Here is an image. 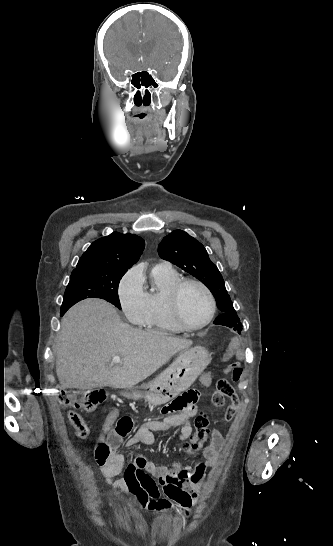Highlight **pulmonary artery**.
<instances>
[{"label": "pulmonary artery", "mask_w": 333, "mask_h": 546, "mask_svg": "<svg viewBox=\"0 0 333 546\" xmlns=\"http://www.w3.org/2000/svg\"><path fill=\"white\" fill-rule=\"evenodd\" d=\"M157 266H168V263L162 262V263L158 264Z\"/></svg>", "instance_id": "1"}]
</instances>
